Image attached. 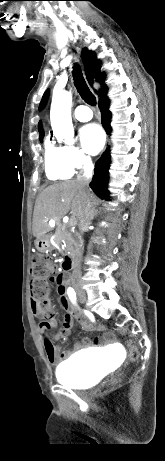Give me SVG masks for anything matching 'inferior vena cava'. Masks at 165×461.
Wrapping results in <instances>:
<instances>
[{
	"label": "inferior vena cava",
	"mask_w": 165,
	"mask_h": 461,
	"mask_svg": "<svg viewBox=\"0 0 165 461\" xmlns=\"http://www.w3.org/2000/svg\"><path fill=\"white\" fill-rule=\"evenodd\" d=\"M93 163L90 159V157H85V162H84V173L79 175L77 177V181L82 187L84 194H85V202H84V209L83 213L79 219V230L81 233L84 232V230L87 229V227L90 225L91 220L94 217V210L91 205V200H90V190H89V182L92 177V172H93ZM81 275L80 271V262L79 260H76L73 266V272H72V277L73 279H78Z\"/></svg>",
	"instance_id": "602c4592"
}]
</instances>
